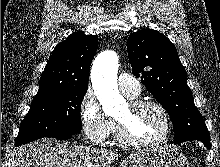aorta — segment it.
Instances as JSON below:
<instances>
[{
  "mask_svg": "<svg viewBox=\"0 0 220 167\" xmlns=\"http://www.w3.org/2000/svg\"><path fill=\"white\" fill-rule=\"evenodd\" d=\"M118 56L113 51H105L95 59L91 81L96 96L107 115H113L125 104L117 85Z\"/></svg>",
  "mask_w": 220,
  "mask_h": 167,
  "instance_id": "1",
  "label": "aorta"
}]
</instances>
